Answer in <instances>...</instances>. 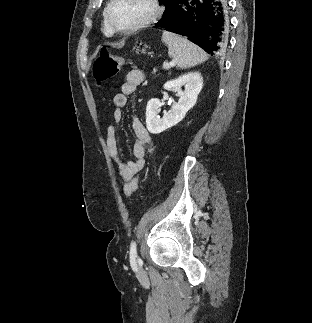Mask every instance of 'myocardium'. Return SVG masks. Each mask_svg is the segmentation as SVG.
Instances as JSON below:
<instances>
[{
    "label": "myocardium",
    "instance_id": "myocardium-1",
    "mask_svg": "<svg viewBox=\"0 0 312 323\" xmlns=\"http://www.w3.org/2000/svg\"><path fill=\"white\" fill-rule=\"evenodd\" d=\"M161 0H146L147 4L152 6L148 12L147 18H139V20H118L116 14L118 8H123L128 4V0H111L108 2L107 10L103 15L110 25V31H144V25H149L150 21H161L163 19V10L166 8ZM134 2V0H131ZM142 2V0H138Z\"/></svg>",
    "mask_w": 312,
    "mask_h": 323
}]
</instances>
